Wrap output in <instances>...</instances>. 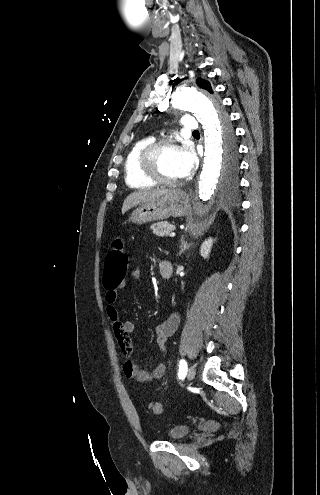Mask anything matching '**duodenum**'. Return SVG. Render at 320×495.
I'll return each mask as SVG.
<instances>
[{"label":"duodenum","instance_id":"1","mask_svg":"<svg viewBox=\"0 0 320 495\" xmlns=\"http://www.w3.org/2000/svg\"><path fill=\"white\" fill-rule=\"evenodd\" d=\"M160 275L164 280H169L173 275V264L169 260H162L159 264Z\"/></svg>","mask_w":320,"mask_h":495}]
</instances>
